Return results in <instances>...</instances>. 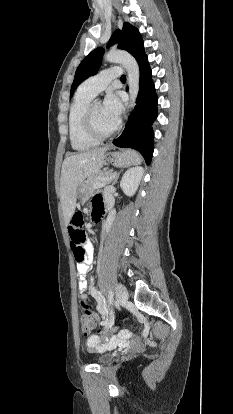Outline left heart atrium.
I'll return each instance as SVG.
<instances>
[{"label":"left heart atrium","mask_w":233,"mask_h":414,"mask_svg":"<svg viewBox=\"0 0 233 414\" xmlns=\"http://www.w3.org/2000/svg\"><path fill=\"white\" fill-rule=\"evenodd\" d=\"M105 114L115 122H118L122 114V104L115 93H109L103 103Z\"/></svg>","instance_id":"left-heart-atrium-1"}]
</instances>
